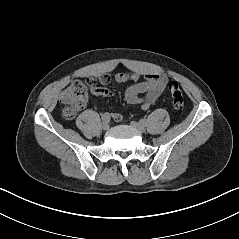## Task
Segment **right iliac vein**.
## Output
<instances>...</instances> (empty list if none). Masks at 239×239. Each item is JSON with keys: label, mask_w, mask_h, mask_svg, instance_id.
<instances>
[{"label": "right iliac vein", "mask_w": 239, "mask_h": 239, "mask_svg": "<svg viewBox=\"0 0 239 239\" xmlns=\"http://www.w3.org/2000/svg\"><path fill=\"white\" fill-rule=\"evenodd\" d=\"M102 129H103V130H108V129H109V122H108V121H103V123H102Z\"/></svg>", "instance_id": "63e3f726"}]
</instances>
